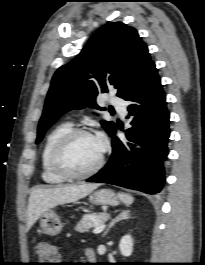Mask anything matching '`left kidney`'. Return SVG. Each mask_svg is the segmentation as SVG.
<instances>
[{"label": "left kidney", "instance_id": "1", "mask_svg": "<svg viewBox=\"0 0 205 265\" xmlns=\"http://www.w3.org/2000/svg\"><path fill=\"white\" fill-rule=\"evenodd\" d=\"M120 252L123 256H130L133 251V238L131 235H125L121 238L119 244Z\"/></svg>", "mask_w": 205, "mask_h": 265}]
</instances>
